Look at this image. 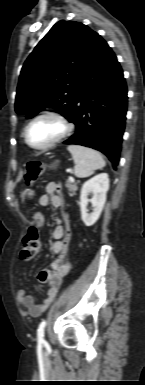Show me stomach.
Returning a JSON list of instances; mask_svg holds the SVG:
<instances>
[{
    "instance_id": "0dacf381",
    "label": "stomach",
    "mask_w": 145,
    "mask_h": 385,
    "mask_svg": "<svg viewBox=\"0 0 145 385\" xmlns=\"http://www.w3.org/2000/svg\"><path fill=\"white\" fill-rule=\"evenodd\" d=\"M34 195V191L31 190V189H24L22 192H21V198L24 199L26 196L28 197H32Z\"/></svg>"
}]
</instances>
